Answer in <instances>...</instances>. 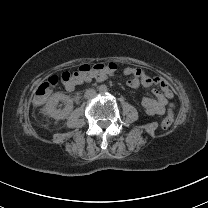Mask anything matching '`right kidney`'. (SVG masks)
<instances>
[{
    "label": "right kidney",
    "instance_id": "right-kidney-1",
    "mask_svg": "<svg viewBox=\"0 0 208 208\" xmlns=\"http://www.w3.org/2000/svg\"><path fill=\"white\" fill-rule=\"evenodd\" d=\"M59 101H67V107L65 110H59L55 108V105L59 102ZM45 113L56 119V120H62V119H66L71 111L73 110V104L72 101L69 99L68 96H66L63 93H55L53 96H51L48 101L46 102L45 106Z\"/></svg>",
    "mask_w": 208,
    "mask_h": 208
}]
</instances>
